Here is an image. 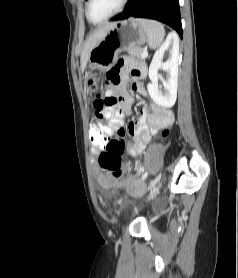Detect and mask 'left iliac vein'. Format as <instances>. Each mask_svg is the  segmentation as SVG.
I'll return each mask as SVG.
<instances>
[{"instance_id": "4c4485c4", "label": "left iliac vein", "mask_w": 238, "mask_h": 278, "mask_svg": "<svg viewBox=\"0 0 238 278\" xmlns=\"http://www.w3.org/2000/svg\"><path fill=\"white\" fill-rule=\"evenodd\" d=\"M161 179V174H159L152 182H149L148 191L158 190V183ZM145 185V184H142Z\"/></svg>"}]
</instances>
